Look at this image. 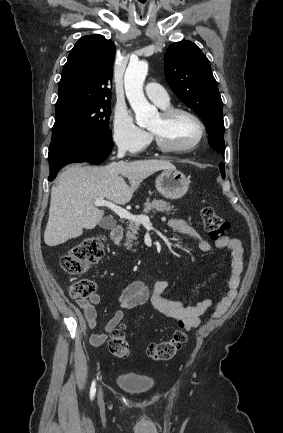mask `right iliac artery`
I'll list each match as a JSON object with an SVG mask.
<instances>
[{
  "label": "right iliac artery",
  "mask_w": 283,
  "mask_h": 433,
  "mask_svg": "<svg viewBox=\"0 0 283 433\" xmlns=\"http://www.w3.org/2000/svg\"><path fill=\"white\" fill-rule=\"evenodd\" d=\"M95 392H96L95 381H93L92 385H91V389H90V397H91V399H93V397L95 395Z\"/></svg>",
  "instance_id": "right-iliac-artery-1"
}]
</instances>
